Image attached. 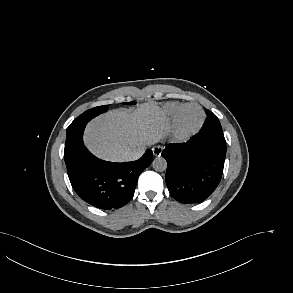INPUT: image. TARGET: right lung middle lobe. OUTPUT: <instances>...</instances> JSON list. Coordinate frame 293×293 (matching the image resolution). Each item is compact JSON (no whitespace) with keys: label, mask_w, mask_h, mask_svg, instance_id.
Masks as SVG:
<instances>
[{"label":"right lung middle lobe","mask_w":293,"mask_h":293,"mask_svg":"<svg viewBox=\"0 0 293 293\" xmlns=\"http://www.w3.org/2000/svg\"><path fill=\"white\" fill-rule=\"evenodd\" d=\"M135 103H136L135 101H132L127 104H135ZM107 109H108V105L98 106V107L92 108L90 110L85 111L83 114H81L79 117H77L73 122L77 123V122L83 121L85 119L91 120L93 117L107 111Z\"/></svg>","instance_id":"dd1d6c3e"}]
</instances>
